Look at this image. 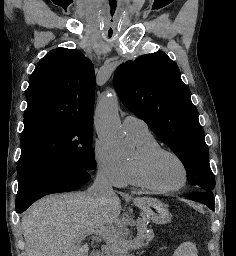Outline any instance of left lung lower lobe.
Segmentation results:
<instances>
[{
	"label": "left lung lower lobe",
	"mask_w": 236,
	"mask_h": 256,
	"mask_svg": "<svg viewBox=\"0 0 236 256\" xmlns=\"http://www.w3.org/2000/svg\"><path fill=\"white\" fill-rule=\"evenodd\" d=\"M187 199L201 202L205 204L209 209L214 210V200L211 195L204 192L192 193L184 195Z\"/></svg>",
	"instance_id": "left-lung-lower-lobe-1"
}]
</instances>
